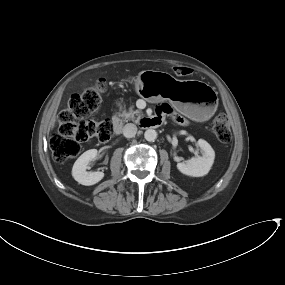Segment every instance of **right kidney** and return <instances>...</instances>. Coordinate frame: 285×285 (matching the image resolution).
Instances as JSON below:
<instances>
[{"label":"right kidney","mask_w":285,"mask_h":285,"mask_svg":"<svg viewBox=\"0 0 285 285\" xmlns=\"http://www.w3.org/2000/svg\"><path fill=\"white\" fill-rule=\"evenodd\" d=\"M97 156L96 149H90L84 152L74 163L72 168L73 178L80 184L90 186L98 183L104 177L103 172L86 171L88 164Z\"/></svg>","instance_id":"obj_1"}]
</instances>
